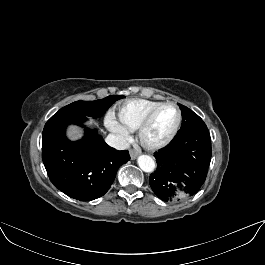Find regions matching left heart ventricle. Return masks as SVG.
I'll use <instances>...</instances> for the list:
<instances>
[{
    "instance_id": "obj_1",
    "label": "left heart ventricle",
    "mask_w": 265,
    "mask_h": 265,
    "mask_svg": "<svg viewBox=\"0 0 265 265\" xmlns=\"http://www.w3.org/2000/svg\"><path fill=\"white\" fill-rule=\"evenodd\" d=\"M177 120V112L172 106L162 107L153 117L145 132V139L156 143L164 139L172 130Z\"/></svg>"
}]
</instances>
